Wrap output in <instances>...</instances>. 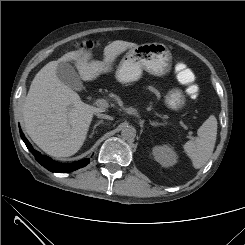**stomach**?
Returning a JSON list of instances; mask_svg holds the SVG:
<instances>
[{
  "mask_svg": "<svg viewBox=\"0 0 245 245\" xmlns=\"http://www.w3.org/2000/svg\"><path fill=\"white\" fill-rule=\"evenodd\" d=\"M172 55L162 43H145L131 48L122 58L116 70V79L123 84L138 81L143 71L155 76H163L170 70ZM182 93L175 89L166 96V103L171 109L184 105Z\"/></svg>",
  "mask_w": 245,
  "mask_h": 245,
  "instance_id": "stomach-1",
  "label": "stomach"
}]
</instances>
